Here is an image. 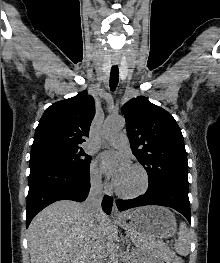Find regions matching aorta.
<instances>
[{
    "mask_svg": "<svg viewBox=\"0 0 220 263\" xmlns=\"http://www.w3.org/2000/svg\"><path fill=\"white\" fill-rule=\"evenodd\" d=\"M125 127V119L123 117H110L104 124V132L107 134L115 133ZM110 259L112 263H118V245L112 238L109 242Z\"/></svg>",
    "mask_w": 220,
    "mask_h": 263,
    "instance_id": "aorta-1",
    "label": "aorta"
}]
</instances>
